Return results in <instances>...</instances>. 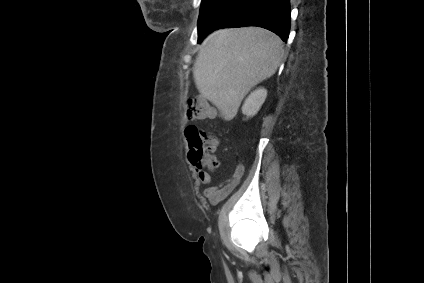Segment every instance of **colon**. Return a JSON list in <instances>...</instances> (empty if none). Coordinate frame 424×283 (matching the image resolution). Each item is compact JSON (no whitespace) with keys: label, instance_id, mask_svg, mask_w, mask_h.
Returning <instances> with one entry per match:
<instances>
[{"label":"colon","instance_id":"obj_1","mask_svg":"<svg viewBox=\"0 0 424 283\" xmlns=\"http://www.w3.org/2000/svg\"><path fill=\"white\" fill-rule=\"evenodd\" d=\"M212 114V108L204 99L198 98L188 102L187 116L189 119H206ZM187 137L191 145L189 158L192 163H202L209 167L218 165L215 151L219 140L214 135L190 126L187 129Z\"/></svg>","mask_w":424,"mask_h":283}]
</instances>
